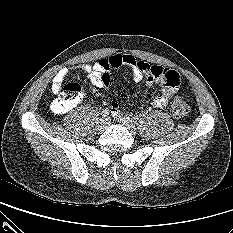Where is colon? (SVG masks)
Instances as JSON below:
<instances>
[{
	"label": "colon",
	"mask_w": 233,
	"mask_h": 233,
	"mask_svg": "<svg viewBox=\"0 0 233 233\" xmlns=\"http://www.w3.org/2000/svg\"><path fill=\"white\" fill-rule=\"evenodd\" d=\"M82 98V88L77 83H69L61 88L59 96L52 102L51 108L56 113H66L72 110ZM189 105L182 98L177 97L172 103V113L182 119L189 114Z\"/></svg>",
	"instance_id": "5ec220e1"
}]
</instances>
